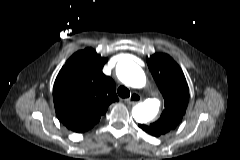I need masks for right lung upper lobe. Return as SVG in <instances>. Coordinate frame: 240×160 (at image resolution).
<instances>
[{"mask_svg":"<svg viewBox=\"0 0 240 160\" xmlns=\"http://www.w3.org/2000/svg\"><path fill=\"white\" fill-rule=\"evenodd\" d=\"M107 58L86 48L73 54L60 70L53 88L58 119L68 129L83 133L91 129L118 101L114 81L102 72Z\"/></svg>","mask_w":240,"mask_h":160,"instance_id":"right-lung-upper-lobe-1","label":"right lung upper lobe"}]
</instances>
